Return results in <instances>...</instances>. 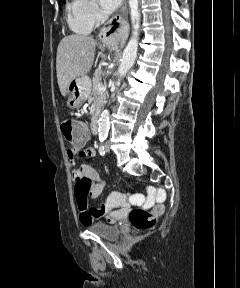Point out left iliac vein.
<instances>
[{
  "instance_id": "obj_1",
  "label": "left iliac vein",
  "mask_w": 240,
  "mask_h": 288,
  "mask_svg": "<svg viewBox=\"0 0 240 288\" xmlns=\"http://www.w3.org/2000/svg\"><path fill=\"white\" fill-rule=\"evenodd\" d=\"M106 151H107V152L110 151V147H109V145H106Z\"/></svg>"
}]
</instances>
